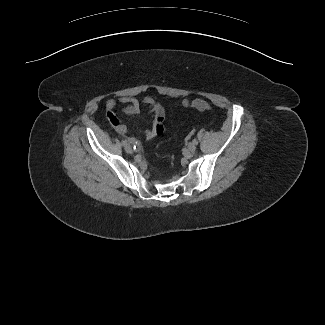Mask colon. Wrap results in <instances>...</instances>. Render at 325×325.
Segmentation results:
<instances>
[{"label":"colon","instance_id":"obj_1","mask_svg":"<svg viewBox=\"0 0 325 325\" xmlns=\"http://www.w3.org/2000/svg\"><path fill=\"white\" fill-rule=\"evenodd\" d=\"M184 107H192L196 108L198 110L206 111V110H211V106L209 103H207L204 100L201 99H194V100H186L182 103Z\"/></svg>","mask_w":325,"mask_h":325}]
</instances>
